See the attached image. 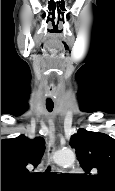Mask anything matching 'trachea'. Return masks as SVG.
<instances>
[{
  "label": "trachea",
  "mask_w": 115,
  "mask_h": 191,
  "mask_svg": "<svg viewBox=\"0 0 115 191\" xmlns=\"http://www.w3.org/2000/svg\"><path fill=\"white\" fill-rule=\"evenodd\" d=\"M47 110L49 111V112H51L52 110H53V108H47ZM50 169V167L48 168V170Z\"/></svg>",
  "instance_id": "obj_1"
}]
</instances>
